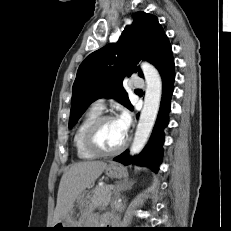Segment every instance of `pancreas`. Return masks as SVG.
Segmentation results:
<instances>
[{
  "mask_svg": "<svg viewBox=\"0 0 231 231\" xmlns=\"http://www.w3.org/2000/svg\"><path fill=\"white\" fill-rule=\"evenodd\" d=\"M110 199H111V190L109 189L108 185L97 187L93 191V194L90 196L91 205L94 207L106 206L109 204ZM86 222L90 223V218H88Z\"/></svg>",
  "mask_w": 231,
  "mask_h": 231,
  "instance_id": "pancreas-1",
  "label": "pancreas"
}]
</instances>
